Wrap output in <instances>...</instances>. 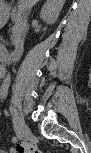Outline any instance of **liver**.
<instances>
[{
	"instance_id": "liver-1",
	"label": "liver",
	"mask_w": 91,
	"mask_h": 153,
	"mask_svg": "<svg viewBox=\"0 0 91 153\" xmlns=\"http://www.w3.org/2000/svg\"><path fill=\"white\" fill-rule=\"evenodd\" d=\"M38 1L39 0H22L20 5H22L23 7L27 8V9H31ZM54 3L63 5L64 1L63 0H56V2H54Z\"/></svg>"
}]
</instances>
